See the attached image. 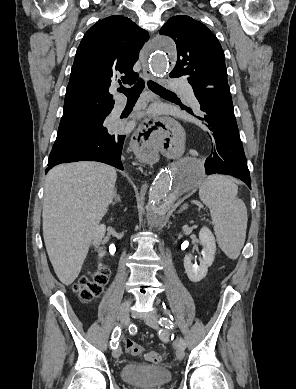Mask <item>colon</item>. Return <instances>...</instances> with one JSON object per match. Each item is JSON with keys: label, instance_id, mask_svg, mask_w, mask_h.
Wrapping results in <instances>:
<instances>
[{"label": "colon", "instance_id": "colon-1", "mask_svg": "<svg viewBox=\"0 0 296 389\" xmlns=\"http://www.w3.org/2000/svg\"><path fill=\"white\" fill-rule=\"evenodd\" d=\"M110 271L107 267H101L82 276L74 285V291L78 294L83 303H88L99 296L109 280ZM127 353L133 356H143L151 363H161L163 355L157 351H144L134 341L127 339L125 341Z\"/></svg>", "mask_w": 296, "mask_h": 389}]
</instances>
